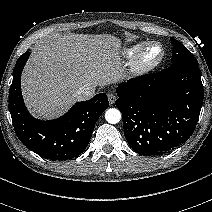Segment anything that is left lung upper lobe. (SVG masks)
<instances>
[{
  "label": "left lung upper lobe",
  "instance_id": "obj_1",
  "mask_svg": "<svg viewBox=\"0 0 212 212\" xmlns=\"http://www.w3.org/2000/svg\"><path fill=\"white\" fill-rule=\"evenodd\" d=\"M171 43L173 45V54L171 59L172 65L198 63L193 54L179 41L171 38Z\"/></svg>",
  "mask_w": 212,
  "mask_h": 212
}]
</instances>
